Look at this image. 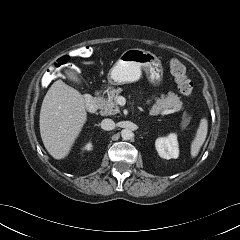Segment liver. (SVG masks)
I'll return each mask as SVG.
<instances>
[{
  "mask_svg": "<svg viewBox=\"0 0 240 240\" xmlns=\"http://www.w3.org/2000/svg\"><path fill=\"white\" fill-rule=\"evenodd\" d=\"M87 120L85 100L76 89L62 80L47 91L40 110V134L49 154L65 158Z\"/></svg>",
  "mask_w": 240,
  "mask_h": 240,
  "instance_id": "liver-1",
  "label": "liver"
}]
</instances>
